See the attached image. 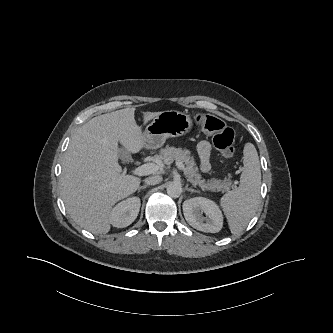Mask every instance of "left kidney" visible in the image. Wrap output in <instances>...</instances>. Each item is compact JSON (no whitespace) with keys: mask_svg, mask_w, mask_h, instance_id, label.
Returning a JSON list of instances; mask_svg holds the SVG:
<instances>
[{"mask_svg":"<svg viewBox=\"0 0 333 333\" xmlns=\"http://www.w3.org/2000/svg\"><path fill=\"white\" fill-rule=\"evenodd\" d=\"M183 212L186 221L202 232L216 233L222 229L223 215L219 206L204 197L184 201ZM202 213H205L206 217Z\"/></svg>","mask_w":333,"mask_h":333,"instance_id":"1","label":"left kidney"}]
</instances>
